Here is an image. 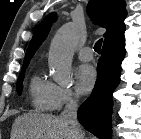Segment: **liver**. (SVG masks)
I'll list each match as a JSON object with an SVG mask.
<instances>
[{
	"label": "liver",
	"mask_w": 141,
	"mask_h": 139,
	"mask_svg": "<svg viewBox=\"0 0 141 139\" xmlns=\"http://www.w3.org/2000/svg\"><path fill=\"white\" fill-rule=\"evenodd\" d=\"M82 139L84 134L82 132ZM11 139H75L70 124L61 116L41 113L19 115L12 126Z\"/></svg>",
	"instance_id": "liver-1"
}]
</instances>
